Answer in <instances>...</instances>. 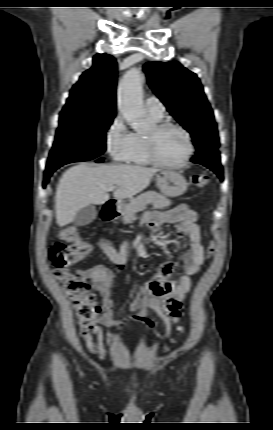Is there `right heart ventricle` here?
<instances>
[{"mask_svg": "<svg viewBox=\"0 0 273 430\" xmlns=\"http://www.w3.org/2000/svg\"><path fill=\"white\" fill-rule=\"evenodd\" d=\"M148 115L153 122H159L162 119V117H158L149 112ZM134 134L136 145L128 162L136 166H148L151 164V161L147 152L146 135L142 133Z\"/></svg>", "mask_w": 273, "mask_h": 430, "instance_id": "obj_1", "label": "right heart ventricle"}]
</instances>
